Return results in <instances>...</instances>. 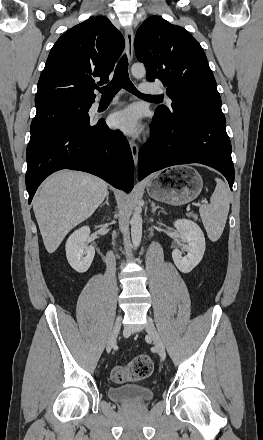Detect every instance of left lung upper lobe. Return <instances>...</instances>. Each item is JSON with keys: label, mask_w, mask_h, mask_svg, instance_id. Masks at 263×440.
<instances>
[{"label": "left lung upper lobe", "mask_w": 263, "mask_h": 440, "mask_svg": "<svg viewBox=\"0 0 263 440\" xmlns=\"http://www.w3.org/2000/svg\"><path fill=\"white\" fill-rule=\"evenodd\" d=\"M135 51L147 70V79L161 80L171 98V108L156 113L171 117L175 112L221 110V98L206 55L184 28L159 16L147 18L135 37Z\"/></svg>", "instance_id": "obj_1"}]
</instances>
